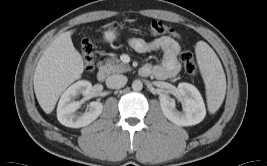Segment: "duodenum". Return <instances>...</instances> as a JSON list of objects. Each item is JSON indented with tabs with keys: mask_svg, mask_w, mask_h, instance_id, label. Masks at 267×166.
<instances>
[{
	"mask_svg": "<svg viewBox=\"0 0 267 166\" xmlns=\"http://www.w3.org/2000/svg\"><path fill=\"white\" fill-rule=\"evenodd\" d=\"M106 74H107L106 70L103 67H101L97 71V74H96V77H97L98 81L103 82L105 80V78H106Z\"/></svg>",
	"mask_w": 267,
	"mask_h": 166,
	"instance_id": "1",
	"label": "duodenum"
}]
</instances>
